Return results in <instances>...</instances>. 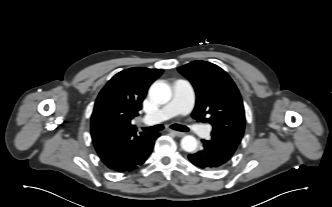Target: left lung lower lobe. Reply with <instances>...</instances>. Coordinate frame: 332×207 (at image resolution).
Segmentation results:
<instances>
[{"instance_id": "1", "label": "left lung lower lobe", "mask_w": 332, "mask_h": 207, "mask_svg": "<svg viewBox=\"0 0 332 207\" xmlns=\"http://www.w3.org/2000/svg\"><path fill=\"white\" fill-rule=\"evenodd\" d=\"M203 148L188 156L190 162L203 170H214L224 166L235 153L237 146L212 137L202 140Z\"/></svg>"}]
</instances>
